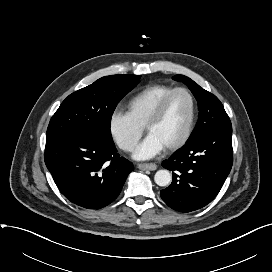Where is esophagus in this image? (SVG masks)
I'll list each match as a JSON object with an SVG mask.
<instances>
[{"label":"esophagus","instance_id":"esophagus-1","mask_svg":"<svg viewBox=\"0 0 272 272\" xmlns=\"http://www.w3.org/2000/svg\"><path fill=\"white\" fill-rule=\"evenodd\" d=\"M138 169L140 170H156L157 165L154 163H139L137 164Z\"/></svg>","mask_w":272,"mask_h":272}]
</instances>
